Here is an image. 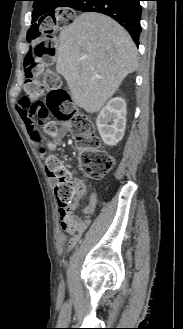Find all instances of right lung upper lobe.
Segmentation results:
<instances>
[{
	"label": "right lung upper lobe",
	"instance_id": "1",
	"mask_svg": "<svg viewBox=\"0 0 183 329\" xmlns=\"http://www.w3.org/2000/svg\"><path fill=\"white\" fill-rule=\"evenodd\" d=\"M34 10L32 12V22L40 19L39 22L47 15L54 13L57 7H70L72 0H33Z\"/></svg>",
	"mask_w": 183,
	"mask_h": 329
}]
</instances>
